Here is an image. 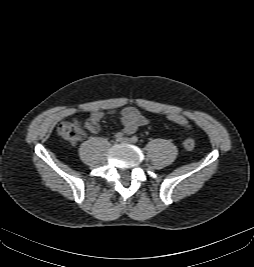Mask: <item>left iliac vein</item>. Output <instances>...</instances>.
<instances>
[{"label":"left iliac vein","mask_w":254,"mask_h":267,"mask_svg":"<svg viewBox=\"0 0 254 267\" xmlns=\"http://www.w3.org/2000/svg\"><path fill=\"white\" fill-rule=\"evenodd\" d=\"M121 142L122 143H132V140L129 138H123V139H121Z\"/></svg>","instance_id":"obj_1"}]
</instances>
